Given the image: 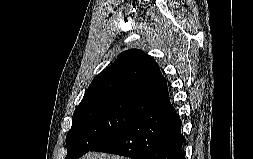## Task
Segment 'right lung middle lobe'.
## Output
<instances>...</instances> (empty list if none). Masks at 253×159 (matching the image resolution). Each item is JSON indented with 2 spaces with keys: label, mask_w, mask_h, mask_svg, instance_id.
I'll use <instances>...</instances> for the list:
<instances>
[{
  "label": "right lung middle lobe",
  "mask_w": 253,
  "mask_h": 159,
  "mask_svg": "<svg viewBox=\"0 0 253 159\" xmlns=\"http://www.w3.org/2000/svg\"><path fill=\"white\" fill-rule=\"evenodd\" d=\"M156 107L152 102L123 95L82 100L66 137L65 159L79 158Z\"/></svg>",
  "instance_id": "1"
}]
</instances>
